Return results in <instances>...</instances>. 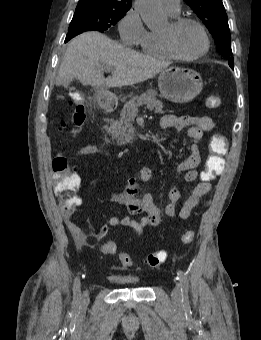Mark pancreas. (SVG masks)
I'll return each instance as SVG.
<instances>
[{
  "label": "pancreas",
  "mask_w": 261,
  "mask_h": 340,
  "mask_svg": "<svg viewBox=\"0 0 261 340\" xmlns=\"http://www.w3.org/2000/svg\"><path fill=\"white\" fill-rule=\"evenodd\" d=\"M156 96L157 92L150 89L140 96L132 97L124 104L119 120L113 122L108 129V133L117 141V143L125 144L131 139L134 131L131 117L133 113L138 111V107L146 105L149 110L155 109L157 113H162L163 104L160 100L156 99Z\"/></svg>",
  "instance_id": "1"
}]
</instances>
